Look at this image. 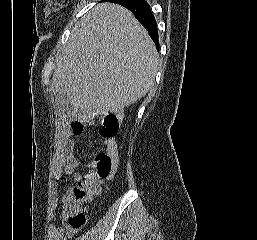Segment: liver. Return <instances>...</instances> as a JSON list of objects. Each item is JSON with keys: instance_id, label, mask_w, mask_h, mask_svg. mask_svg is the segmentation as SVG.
Returning <instances> with one entry per match:
<instances>
[{"instance_id": "6515ba94", "label": "liver", "mask_w": 257, "mask_h": 240, "mask_svg": "<svg viewBox=\"0 0 257 240\" xmlns=\"http://www.w3.org/2000/svg\"><path fill=\"white\" fill-rule=\"evenodd\" d=\"M159 65L156 47L126 8L102 3L74 26L56 65L51 91L77 112H112L144 97Z\"/></svg>"}]
</instances>
